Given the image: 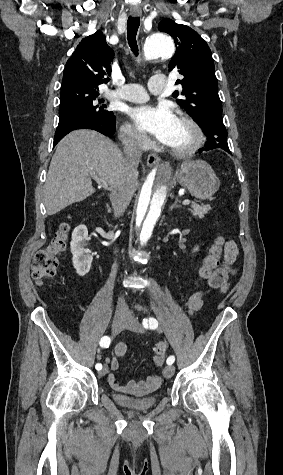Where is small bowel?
Listing matches in <instances>:
<instances>
[{"label": "small bowel", "instance_id": "small-bowel-1", "mask_svg": "<svg viewBox=\"0 0 283 475\" xmlns=\"http://www.w3.org/2000/svg\"><path fill=\"white\" fill-rule=\"evenodd\" d=\"M226 251L222 258L221 271H217V274L211 276V282L207 283L210 287L219 289L222 292H226L229 288L230 282L229 278L236 274L234 264L238 257V247L233 240L226 241ZM204 305V293L202 291H196L191 294L187 299V307L190 316L196 315L201 311ZM126 345L118 344L115 348V356L110 360V369L114 372L119 369L120 363L119 359L122 358L126 353ZM107 381L109 385L115 390L121 389V386L117 382L116 376L113 373L107 375ZM161 381L159 375L150 376L147 379V383L155 386L158 385Z\"/></svg>", "mask_w": 283, "mask_h": 475}]
</instances>
